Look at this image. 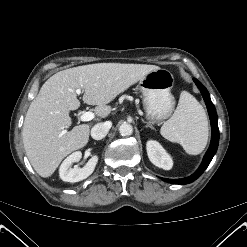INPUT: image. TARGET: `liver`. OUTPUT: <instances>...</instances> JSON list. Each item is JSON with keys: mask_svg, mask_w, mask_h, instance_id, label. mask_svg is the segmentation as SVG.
<instances>
[{"mask_svg": "<svg viewBox=\"0 0 247 247\" xmlns=\"http://www.w3.org/2000/svg\"><path fill=\"white\" fill-rule=\"evenodd\" d=\"M157 69L145 64L96 63L51 76L31 102L23 125L24 149L34 170L47 178L68 154L88 143L91 124L67 131L69 112L80 106L76 89L84 91V103L96 105V121H100L111 113V101Z\"/></svg>", "mask_w": 247, "mask_h": 247, "instance_id": "1", "label": "liver"}]
</instances>
